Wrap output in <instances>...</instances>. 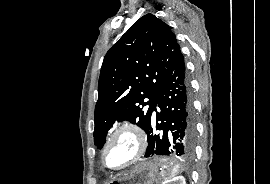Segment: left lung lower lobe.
<instances>
[{
  "mask_svg": "<svg viewBox=\"0 0 270 184\" xmlns=\"http://www.w3.org/2000/svg\"><path fill=\"white\" fill-rule=\"evenodd\" d=\"M154 111L146 130L148 147L145 157L160 155L191 160L194 155L196 129L191 89L182 54L158 91Z\"/></svg>",
  "mask_w": 270,
  "mask_h": 184,
  "instance_id": "obj_1",
  "label": "left lung lower lobe"
}]
</instances>
